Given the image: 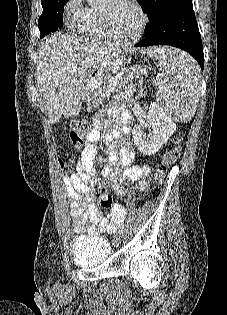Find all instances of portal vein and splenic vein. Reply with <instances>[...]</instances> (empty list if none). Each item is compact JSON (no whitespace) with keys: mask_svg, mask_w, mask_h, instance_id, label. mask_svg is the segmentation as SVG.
I'll return each mask as SVG.
<instances>
[{"mask_svg":"<svg viewBox=\"0 0 227 315\" xmlns=\"http://www.w3.org/2000/svg\"><path fill=\"white\" fill-rule=\"evenodd\" d=\"M118 78H119V76H116L113 80H112V82H111V85H116V83H117V81H118ZM110 91H111V88L105 93L106 95H109L110 94Z\"/></svg>","mask_w":227,"mask_h":315,"instance_id":"obj_1","label":"portal vein and splenic vein"}]
</instances>
